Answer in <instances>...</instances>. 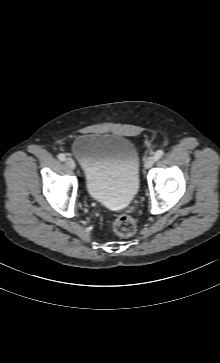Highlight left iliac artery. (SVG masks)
<instances>
[{
	"mask_svg": "<svg viewBox=\"0 0 220 363\" xmlns=\"http://www.w3.org/2000/svg\"><path fill=\"white\" fill-rule=\"evenodd\" d=\"M163 154H164V151L161 149L156 151L154 154L155 161L159 160L163 156Z\"/></svg>",
	"mask_w": 220,
	"mask_h": 363,
	"instance_id": "44dca946",
	"label": "left iliac artery"
}]
</instances>
